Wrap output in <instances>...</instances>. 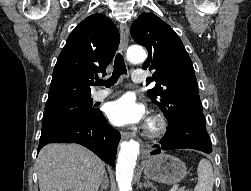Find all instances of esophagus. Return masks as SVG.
<instances>
[{"label": "esophagus", "mask_w": 251, "mask_h": 191, "mask_svg": "<svg viewBox=\"0 0 251 191\" xmlns=\"http://www.w3.org/2000/svg\"><path fill=\"white\" fill-rule=\"evenodd\" d=\"M129 43V28L123 23L120 25V50L124 53L127 49ZM134 133H130L128 131H124L121 133L122 140H128L130 138H134Z\"/></svg>", "instance_id": "esophagus-1"}]
</instances>
